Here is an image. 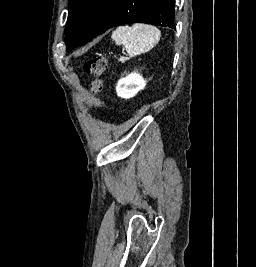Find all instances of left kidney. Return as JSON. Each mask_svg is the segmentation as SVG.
Segmentation results:
<instances>
[{"label":"left kidney","mask_w":256,"mask_h":267,"mask_svg":"<svg viewBox=\"0 0 256 267\" xmlns=\"http://www.w3.org/2000/svg\"><path fill=\"white\" fill-rule=\"evenodd\" d=\"M146 86V80L137 74V72H132V74H127L126 78H121L118 80L116 86L117 96L119 98H133L137 92L143 90Z\"/></svg>","instance_id":"5707ae66"}]
</instances>
